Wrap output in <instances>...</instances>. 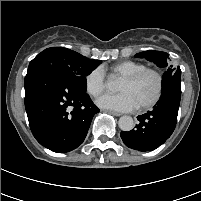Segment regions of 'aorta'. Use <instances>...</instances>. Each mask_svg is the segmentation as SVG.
Instances as JSON below:
<instances>
[{
    "label": "aorta",
    "mask_w": 201,
    "mask_h": 201,
    "mask_svg": "<svg viewBox=\"0 0 201 201\" xmlns=\"http://www.w3.org/2000/svg\"><path fill=\"white\" fill-rule=\"evenodd\" d=\"M106 86L111 91H116L118 89V83L116 80L109 79ZM118 125L122 131H130L134 128V121L131 116H122L119 118Z\"/></svg>",
    "instance_id": "aorta-1"
}]
</instances>
